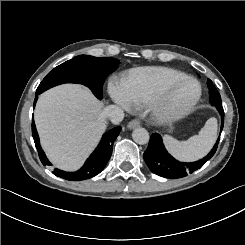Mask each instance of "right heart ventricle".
<instances>
[{
    "label": "right heart ventricle",
    "instance_id": "obj_1",
    "mask_svg": "<svg viewBox=\"0 0 245 245\" xmlns=\"http://www.w3.org/2000/svg\"><path fill=\"white\" fill-rule=\"evenodd\" d=\"M180 71L165 67H146L131 72L129 79L115 88L117 96L129 106L147 102L155 86L162 81L185 77Z\"/></svg>",
    "mask_w": 245,
    "mask_h": 245
}]
</instances>
